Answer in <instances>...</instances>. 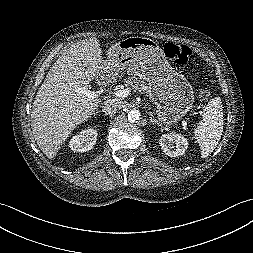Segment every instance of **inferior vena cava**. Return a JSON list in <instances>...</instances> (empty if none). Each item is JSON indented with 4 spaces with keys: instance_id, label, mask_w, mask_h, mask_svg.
<instances>
[{
    "instance_id": "1",
    "label": "inferior vena cava",
    "mask_w": 253,
    "mask_h": 253,
    "mask_svg": "<svg viewBox=\"0 0 253 253\" xmlns=\"http://www.w3.org/2000/svg\"><path fill=\"white\" fill-rule=\"evenodd\" d=\"M122 108V103L119 100L110 99L104 102L102 111L106 115H114Z\"/></svg>"
}]
</instances>
